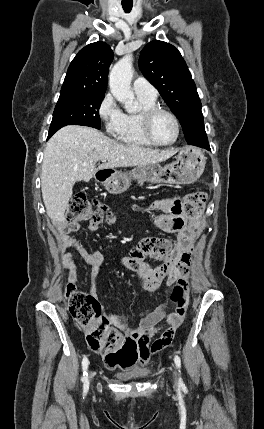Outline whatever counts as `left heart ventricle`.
I'll list each match as a JSON object with an SVG mask.
<instances>
[{
  "label": "left heart ventricle",
  "mask_w": 264,
  "mask_h": 429,
  "mask_svg": "<svg viewBox=\"0 0 264 429\" xmlns=\"http://www.w3.org/2000/svg\"><path fill=\"white\" fill-rule=\"evenodd\" d=\"M154 137L160 142H170L176 134L174 121L166 114L157 115L152 123Z\"/></svg>",
  "instance_id": "1"
}]
</instances>
